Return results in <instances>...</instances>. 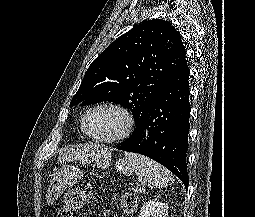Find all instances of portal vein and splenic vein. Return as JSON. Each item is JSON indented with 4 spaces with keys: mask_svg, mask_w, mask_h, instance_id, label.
Returning <instances> with one entry per match:
<instances>
[{
    "mask_svg": "<svg viewBox=\"0 0 255 217\" xmlns=\"http://www.w3.org/2000/svg\"><path fill=\"white\" fill-rule=\"evenodd\" d=\"M132 191H134V192H142V191H144V189L132 188Z\"/></svg>",
    "mask_w": 255,
    "mask_h": 217,
    "instance_id": "18ae733b",
    "label": "portal vein and splenic vein"
}]
</instances>
